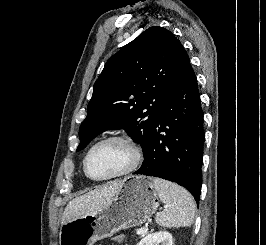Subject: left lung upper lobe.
<instances>
[{
    "instance_id": "1",
    "label": "left lung upper lobe",
    "mask_w": 266,
    "mask_h": 245,
    "mask_svg": "<svg viewBox=\"0 0 266 245\" xmlns=\"http://www.w3.org/2000/svg\"><path fill=\"white\" fill-rule=\"evenodd\" d=\"M188 60L181 42L159 26L124 46L94 84L76 151L106 130L123 128L144 153L154 119Z\"/></svg>"
}]
</instances>
